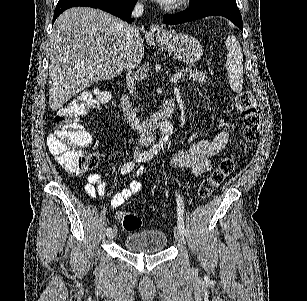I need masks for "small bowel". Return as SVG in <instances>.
I'll list each match as a JSON object with an SVG mask.
<instances>
[{"label": "small bowel", "mask_w": 307, "mask_h": 301, "mask_svg": "<svg viewBox=\"0 0 307 301\" xmlns=\"http://www.w3.org/2000/svg\"><path fill=\"white\" fill-rule=\"evenodd\" d=\"M228 140L229 137L226 132H220L212 140H200L188 149L176 153L172 159V164L177 167L190 168L196 176L202 175L211 170V157L219 153L227 145ZM84 190L91 199H104L107 186L99 173H92L87 178ZM140 190L141 184L139 182H131L128 187L113 196L110 202L111 206L119 207L123 205Z\"/></svg>", "instance_id": "small-bowel-1"}]
</instances>
